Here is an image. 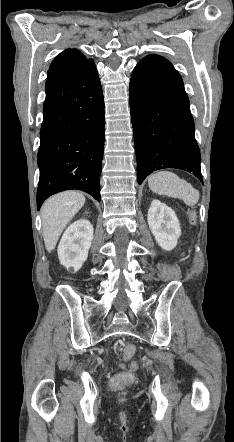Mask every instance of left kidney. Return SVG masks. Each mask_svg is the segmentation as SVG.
I'll use <instances>...</instances> for the list:
<instances>
[{
    "label": "left kidney",
    "mask_w": 234,
    "mask_h": 442,
    "mask_svg": "<svg viewBox=\"0 0 234 442\" xmlns=\"http://www.w3.org/2000/svg\"><path fill=\"white\" fill-rule=\"evenodd\" d=\"M148 225L158 245L173 250L181 235L180 223L175 212L166 204L154 199L147 216Z\"/></svg>",
    "instance_id": "5707ae66"
}]
</instances>
